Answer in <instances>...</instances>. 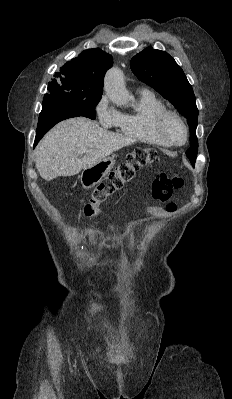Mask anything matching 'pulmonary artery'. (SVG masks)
Instances as JSON below:
<instances>
[{"mask_svg":"<svg viewBox=\"0 0 232 399\" xmlns=\"http://www.w3.org/2000/svg\"><path fill=\"white\" fill-rule=\"evenodd\" d=\"M142 95L143 96H148L149 95V90L148 89H143L142 90Z\"/></svg>","mask_w":232,"mask_h":399,"instance_id":"e3ab8cb5","label":"pulmonary artery"}]
</instances>
